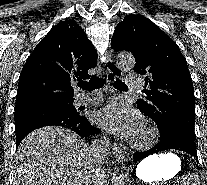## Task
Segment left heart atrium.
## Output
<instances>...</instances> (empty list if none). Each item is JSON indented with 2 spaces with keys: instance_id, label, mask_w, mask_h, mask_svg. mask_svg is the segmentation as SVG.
<instances>
[{
  "instance_id": "39dd6f15",
  "label": "left heart atrium",
  "mask_w": 207,
  "mask_h": 185,
  "mask_svg": "<svg viewBox=\"0 0 207 185\" xmlns=\"http://www.w3.org/2000/svg\"><path fill=\"white\" fill-rule=\"evenodd\" d=\"M97 120L104 128L121 137L134 138L143 129L141 114L123 100L103 108Z\"/></svg>"
}]
</instances>
